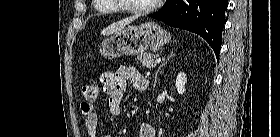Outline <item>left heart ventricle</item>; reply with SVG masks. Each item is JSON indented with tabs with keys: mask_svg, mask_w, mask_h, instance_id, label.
I'll return each mask as SVG.
<instances>
[{
	"mask_svg": "<svg viewBox=\"0 0 280 137\" xmlns=\"http://www.w3.org/2000/svg\"><path fill=\"white\" fill-rule=\"evenodd\" d=\"M155 0H126V5L133 8H145L152 5Z\"/></svg>",
	"mask_w": 280,
	"mask_h": 137,
	"instance_id": "b2bd125f",
	"label": "left heart ventricle"
}]
</instances>
